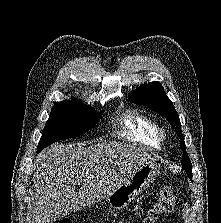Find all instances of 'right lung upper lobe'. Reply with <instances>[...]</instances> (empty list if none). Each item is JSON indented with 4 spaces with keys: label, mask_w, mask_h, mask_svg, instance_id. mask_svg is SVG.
Segmentation results:
<instances>
[{
    "label": "right lung upper lobe",
    "mask_w": 221,
    "mask_h": 223,
    "mask_svg": "<svg viewBox=\"0 0 221 223\" xmlns=\"http://www.w3.org/2000/svg\"><path fill=\"white\" fill-rule=\"evenodd\" d=\"M57 103H81V102L76 101L75 99H73L71 101L56 102L55 104H57Z\"/></svg>",
    "instance_id": "cb5924a9"
}]
</instances>
